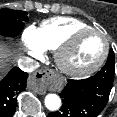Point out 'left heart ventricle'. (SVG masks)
Instances as JSON below:
<instances>
[{
  "label": "left heart ventricle",
  "instance_id": "left-heart-ventricle-1",
  "mask_svg": "<svg viewBox=\"0 0 117 117\" xmlns=\"http://www.w3.org/2000/svg\"><path fill=\"white\" fill-rule=\"evenodd\" d=\"M104 49L101 36L88 34L81 37L67 57L68 63L77 68L87 67L96 62Z\"/></svg>",
  "mask_w": 117,
  "mask_h": 117
}]
</instances>
